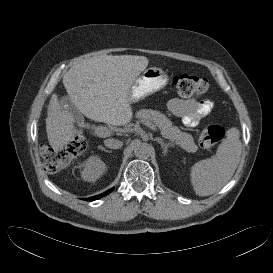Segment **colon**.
Here are the masks:
<instances>
[{
    "mask_svg": "<svg viewBox=\"0 0 273 273\" xmlns=\"http://www.w3.org/2000/svg\"><path fill=\"white\" fill-rule=\"evenodd\" d=\"M176 92L182 97H200L208 91L206 79L189 74H178L172 80ZM225 135L223 127L217 124L207 125L201 132L200 146L208 149L219 143ZM86 149V139L81 133H76L64 149L55 151L45 146L41 154L46 169L57 173L64 169L68 163Z\"/></svg>",
    "mask_w": 273,
    "mask_h": 273,
    "instance_id": "colon-1",
    "label": "colon"
}]
</instances>
